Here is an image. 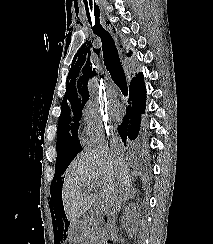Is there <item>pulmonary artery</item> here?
<instances>
[{
  "label": "pulmonary artery",
  "instance_id": "obj_1",
  "mask_svg": "<svg viewBox=\"0 0 213 244\" xmlns=\"http://www.w3.org/2000/svg\"><path fill=\"white\" fill-rule=\"evenodd\" d=\"M106 92L111 97L116 96L117 95L116 86L113 83H108L106 86Z\"/></svg>",
  "mask_w": 213,
  "mask_h": 244
}]
</instances>
